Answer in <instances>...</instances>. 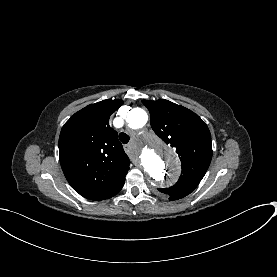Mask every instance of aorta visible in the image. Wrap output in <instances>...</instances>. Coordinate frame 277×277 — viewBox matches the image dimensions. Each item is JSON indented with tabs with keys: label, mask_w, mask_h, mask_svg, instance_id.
Instances as JSON below:
<instances>
[{
	"label": "aorta",
	"mask_w": 277,
	"mask_h": 277,
	"mask_svg": "<svg viewBox=\"0 0 277 277\" xmlns=\"http://www.w3.org/2000/svg\"><path fill=\"white\" fill-rule=\"evenodd\" d=\"M127 122L131 129L142 128L148 120L147 113L141 108L128 112ZM139 161L144 171L157 184L172 182L180 173V162L176 152L159 137L148 134L140 146Z\"/></svg>",
	"instance_id": "1"
}]
</instances>
